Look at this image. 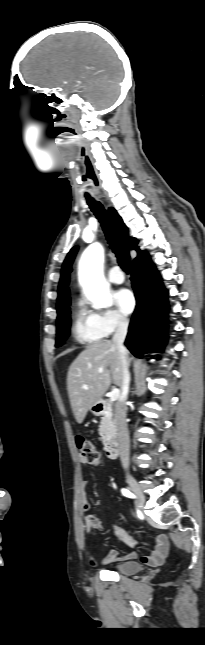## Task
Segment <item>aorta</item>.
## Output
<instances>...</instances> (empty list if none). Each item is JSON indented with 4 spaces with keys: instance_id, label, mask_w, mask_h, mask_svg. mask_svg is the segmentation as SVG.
Here are the masks:
<instances>
[{
    "instance_id": "aorta-1",
    "label": "aorta",
    "mask_w": 205,
    "mask_h": 645,
    "mask_svg": "<svg viewBox=\"0 0 205 645\" xmlns=\"http://www.w3.org/2000/svg\"><path fill=\"white\" fill-rule=\"evenodd\" d=\"M103 247L94 243L87 247L79 262V282L94 308L112 305V298L103 277Z\"/></svg>"
}]
</instances>
